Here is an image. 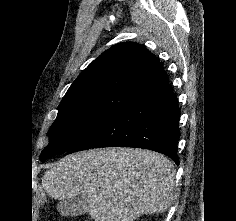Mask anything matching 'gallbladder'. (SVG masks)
Returning <instances> with one entry per match:
<instances>
[{"label": "gallbladder", "mask_w": 236, "mask_h": 221, "mask_svg": "<svg viewBox=\"0 0 236 221\" xmlns=\"http://www.w3.org/2000/svg\"><path fill=\"white\" fill-rule=\"evenodd\" d=\"M57 208L61 215L67 217L80 216L87 212L84 201L80 196L60 201Z\"/></svg>", "instance_id": "gallbladder-1"}]
</instances>
